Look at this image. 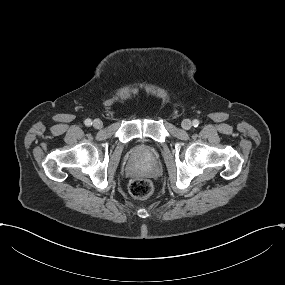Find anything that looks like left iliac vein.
<instances>
[{
    "label": "left iliac vein",
    "instance_id": "1",
    "mask_svg": "<svg viewBox=\"0 0 285 285\" xmlns=\"http://www.w3.org/2000/svg\"><path fill=\"white\" fill-rule=\"evenodd\" d=\"M182 127H183L184 129H186V130L191 129V127H192V122H191V120H189V119H184V120L182 121Z\"/></svg>",
    "mask_w": 285,
    "mask_h": 285
}]
</instances>
